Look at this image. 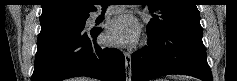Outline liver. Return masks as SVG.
<instances>
[{
	"instance_id": "obj_1",
	"label": "liver",
	"mask_w": 237,
	"mask_h": 81,
	"mask_svg": "<svg viewBox=\"0 0 237 81\" xmlns=\"http://www.w3.org/2000/svg\"><path fill=\"white\" fill-rule=\"evenodd\" d=\"M73 81H94V80L88 77H77L74 78Z\"/></svg>"
}]
</instances>
